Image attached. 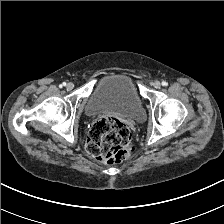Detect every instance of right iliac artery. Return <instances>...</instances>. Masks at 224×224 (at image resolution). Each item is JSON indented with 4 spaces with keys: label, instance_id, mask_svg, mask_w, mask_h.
<instances>
[{
    "label": "right iliac artery",
    "instance_id": "right-iliac-artery-1",
    "mask_svg": "<svg viewBox=\"0 0 224 224\" xmlns=\"http://www.w3.org/2000/svg\"><path fill=\"white\" fill-rule=\"evenodd\" d=\"M65 85H66V83L63 82L59 87L62 88V87L65 86Z\"/></svg>",
    "mask_w": 224,
    "mask_h": 224
}]
</instances>
